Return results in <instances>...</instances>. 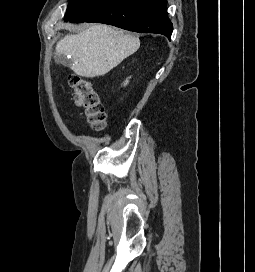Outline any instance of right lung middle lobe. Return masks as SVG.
<instances>
[{
    "label": "right lung middle lobe",
    "instance_id": "dd1d6c3e",
    "mask_svg": "<svg viewBox=\"0 0 255 272\" xmlns=\"http://www.w3.org/2000/svg\"><path fill=\"white\" fill-rule=\"evenodd\" d=\"M90 0H71L68 5L67 12L65 14L64 20L68 19L73 15L80 7L89 2Z\"/></svg>",
    "mask_w": 255,
    "mask_h": 272
}]
</instances>
